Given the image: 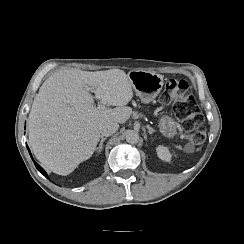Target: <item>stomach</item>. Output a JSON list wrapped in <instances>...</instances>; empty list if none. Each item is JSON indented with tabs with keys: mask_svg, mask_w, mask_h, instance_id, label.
<instances>
[{
	"mask_svg": "<svg viewBox=\"0 0 244 244\" xmlns=\"http://www.w3.org/2000/svg\"><path fill=\"white\" fill-rule=\"evenodd\" d=\"M128 78L143 104L151 103L159 95L164 85L163 75L145 70H132L129 72ZM157 126L164 138L174 139L178 134V124L170 115H160Z\"/></svg>",
	"mask_w": 244,
	"mask_h": 244,
	"instance_id": "1",
	"label": "stomach"
}]
</instances>
